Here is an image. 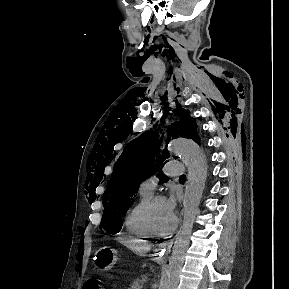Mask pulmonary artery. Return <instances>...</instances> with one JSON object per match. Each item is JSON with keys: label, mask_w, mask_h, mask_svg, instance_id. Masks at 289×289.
Segmentation results:
<instances>
[{"label": "pulmonary artery", "mask_w": 289, "mask_h": 289, "mask_svg": "<svg viewBox=\"0 0 289 289\" xmlns=\"http://www.w3.org/2000/svg\"><path fill=\"white\" fill-rule=\"evenodd\" d=\"M163 172L164 174L170 177H180L183 172L182 164L180 161L177 160L168 161L163 167ZM156 185H157V176L154 175L144 180L140 184L139 190L153 194Z\"/></svg>", "instance_id": "1"}]
</instances>
